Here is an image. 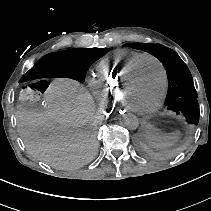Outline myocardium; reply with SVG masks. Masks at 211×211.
<instances>
[{
    "instance_id": "f54148a6",
    "label": "myocardium",
    "mask_w": 211,
    "mask_h": 211,
    "mask_svg": "<svg viewBox=\"0 0 211 211\" xmlns=\"http://www.w3.org/2000/svg\"><path fill=\"white\" fill-rule=\"evenodd\" d=\"M147 60L154 61L155 63L158 64V66L161 70V74H162V87H161L160 95H159L158 99L154 102V104H152L148 108H138V107L132 106L128 103L127 92L129 89L130 81L136 74L138 68L140 67V65L143 62H145ZM166 83H167V72H166V69H165L163 63L157 57H155L153 55H146L145 57H143L141 59V61L133 69H131L129 72H127L126 75L124 76V78L120 84V88H119V93H118L119 100H120L121 104L127 110H129L133 113H136L139 115H150V114L154 113L162 104L164 96H165Z\"/></svg>"
}]
</instances>
